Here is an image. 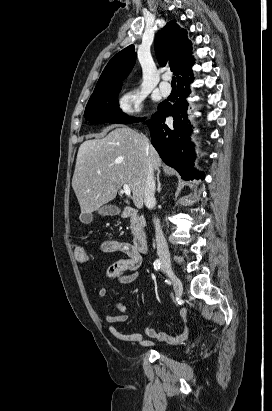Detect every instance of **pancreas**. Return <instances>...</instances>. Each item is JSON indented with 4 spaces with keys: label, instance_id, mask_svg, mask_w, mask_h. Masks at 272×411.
<instances>
[{
    "label": "pancreas",
    "instance_id": "cf45deb5",
    "mask_svg": "<svg viewBox=\"0 0 272 411\" xmlns=\"http://www.w3.org/2000/svg\"><path fill=\"white\" fill-rule=\"evenodd\" d=\"M145 219L143 216L137 217L136 219H133L130 221V228L132 230V233H139L143 230L145 226Z\"/></svg>",
    "mask_w": 272,
    "mask_h": 411
}]
</instances>
